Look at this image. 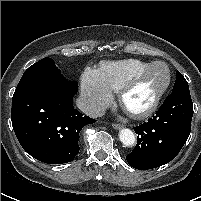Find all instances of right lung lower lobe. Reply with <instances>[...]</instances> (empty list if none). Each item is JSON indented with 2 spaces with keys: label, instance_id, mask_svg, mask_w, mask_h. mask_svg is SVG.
I'll use <instances>...</instances> for the list:
<instances>
[{
  "label": "right lung lower lobe",
  "instance_id": "obj_1",
  "mask_svg": "<svg viewBox=\"0 0 201 201\" xmlns=\"http://www.w3.org/2000/svg\"><path fill=\"white\" fill-rule=\"evenodd\" d=\"M78 84L56 68H28L12 98L11 121L22 148L48 164L72 161L81 129L96 122L73 107Z\"/></svg>",
  "mask_w": 201,
  "mask_h": 201
}]
</instances>
